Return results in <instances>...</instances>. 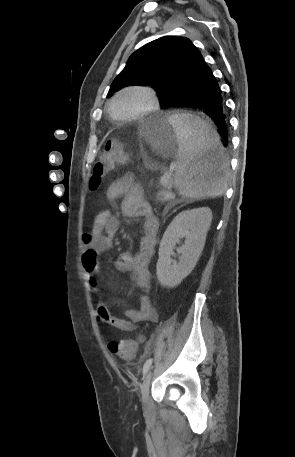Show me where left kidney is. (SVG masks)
<instances>
[{
	"instance_id": "1",
	"label": "left kidney",
	"mask_w": 295,
	"mask_h": 457,
	"mask_svg": "<svg viewBox=\"0 0 295 457\" xmlns=\"http://www.w3.org/2000/svg\"><path fill=\"white\" fill-rule=\"evenodd\" d=\"M211 221L212 211L207 207L183 211L172 220L161 240L156 266L162 286L173 288L191 273L204 248ZM183 237L185 244L177 249L180 261L172 263L175 245Z\"/></svg>"
}]
</instances>
